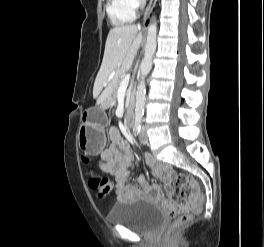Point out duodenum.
Here are the masks:
<instances>
[{"mask_svg": "<svg viewBox=\"0 0 264 247\" xmlns=\"http://www.w3.org/2000/svg\"><path fill=\"white\" fill-rule=\"evenodd\" d=\"M126 122H127V125L129 127H131L134 123V113H133V110L130 109L128 112H127V115H126Z\"/></svg>", "mask_w": 264, "mask_h": 247, "instance_id": "obj_1", "label": "duodenum"}]
</instances>
